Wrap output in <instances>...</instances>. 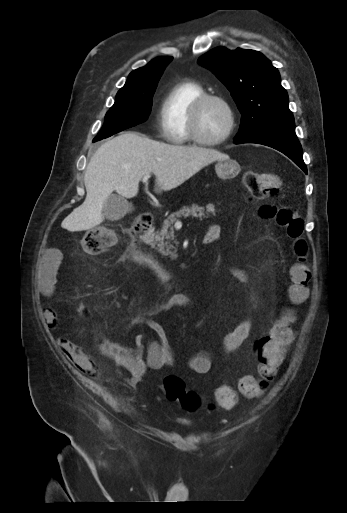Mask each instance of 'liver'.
<instances>
[{
  "label": "liver",
  "instance_id": "liver-1",
  "mask_svg": "<svg viewBox=\"0 0 347 513\" xmlns=\"http://www.w3.org/2000/svg\"><path fill=\"white\" fill-rule=\"evenodd\" d=\"M229 156L213 148L158 142L136 132H124L102 144L84 176L86 199L61 223L70 232L89 230L104 220L103 204L113 191L133 198L139 182L153 173L163 190L183 184L202 168Z\"/></svg>",
  "mask_w": 347,
  "mask_h": 513
}]
</instances>
